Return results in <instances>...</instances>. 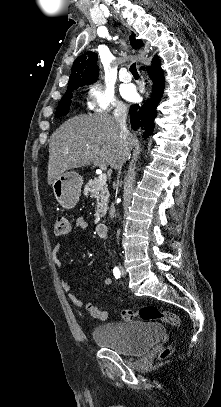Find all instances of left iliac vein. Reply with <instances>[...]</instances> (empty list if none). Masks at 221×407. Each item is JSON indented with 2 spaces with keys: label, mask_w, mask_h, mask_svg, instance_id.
I'll return each instance as SVG.
<instances>
[{
  "label": "left iliac vein",
  "mask_w": 221,
  "mask_h": 407,
  "mask_svg": "<svg viewBox=\"0 0 221 407\" xmlns=\"http://www.w3.org/2000/svg\"><path fill=\"white\" fill-rule=\"evenodd\" d=\"M121 274L123 277L126 276V271H125L124 267H121Z\"/></svg>",
  "instance_id": "4c4485c4"
}]
</instances>
